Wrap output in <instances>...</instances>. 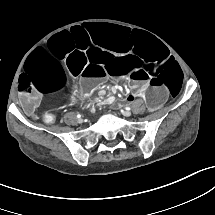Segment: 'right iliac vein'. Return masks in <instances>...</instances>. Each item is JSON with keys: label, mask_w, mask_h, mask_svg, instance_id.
Listing matches in <instances>:
<instances>
[{"label": "right iliac vein", "mask_w": 215, "mask_h": 215, "mask_svg": "<svg viewBox=\"0 0 215 215\" xmlns=\"http://www.w3.org/2000/svg\"><path fill=\"white\" fill-rule=\"evenodd\" d=\"M78 122H80V123H81V122H83V120H82V119H80Z\"/></svg>", "instance_id": "right-iliac-vein-1"}]
</instances>
